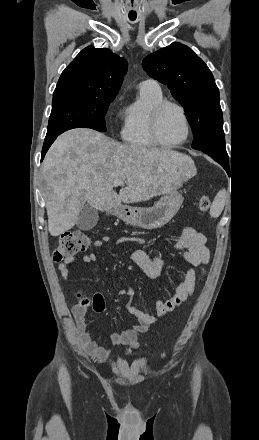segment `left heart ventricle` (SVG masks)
<instances>
[{"label": "left heart ventricle", "instance_id": "obj_1", "mask_svg": "<svg viewBox=\"0 0 259 440\" xmlns=\"http://www.w3.org/2000/svg\"><path fill=\"white\" fill-rule=\"evenodd\" d=\"M186 129L180 112L174 107H168L161 115L159 134L165 143H176L185 136Z\"/></svg>", "mask_w": 259, "mask_h": 440}]
</instances>
